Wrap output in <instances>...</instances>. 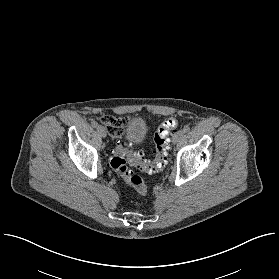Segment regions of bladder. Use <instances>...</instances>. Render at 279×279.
<instances>
[{
	"label": "bladder",
	"instance_id": "31cf9c89",
	"mask_svg": "<svg viewBox=\"0 0 279 279\" xmlns=\"http://www.w3.org/2000/svg\"><path fill=\"white\" fill-rule=\"evenodd\" d=\"M147 131L148 125L144 118L131 117L124 134V142L127 144L138 145L145 140Z\"/></svg>",
	"mask_w": 279,
	"mask_h": 279
}]
</instances>
